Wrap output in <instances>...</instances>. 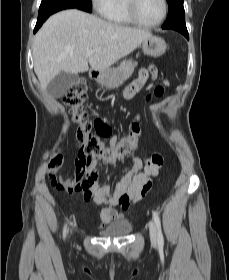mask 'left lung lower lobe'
Wrapping results in <instances>:
<instances>
[{"label":"left lung lower lobe","instance_id":"0a47b994","mask_svg":"<svg viewBox=\"0 0 229 280\" xmlns=\"http://www.w3.org/2000/svg\"><path fill=\"white\" fill-rule=\"evenodd\" d=\"M169 29L176 30V31L180 32L181 34H183L187 39H189V35H188L186 25H177V26H174V27L169 28Z\"/></svg>","mask_w":229,"mask_h":280}]
</instances>
